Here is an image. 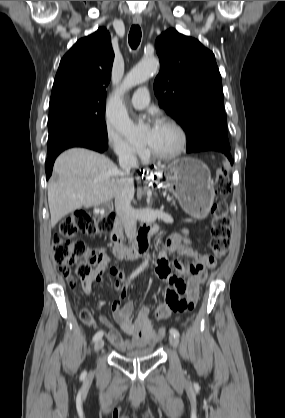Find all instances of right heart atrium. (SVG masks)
<instances>
[{"label": "right heart atrium", "mask_w": 285, "mask_h": 418, "mask_svg": "<svg viewBox=\"0 0 285 418\" xmlns=\"http://www.w3.org/2000/svg\"><path fill=\"white\" fill-rule=\"evenodd\" d=\"M106 144L120 158L133 160L146 152L145 147L131 144L121 132L112 126L106 130Z\"/></svg>", "instance_id": "obj_1"}]
</instances>
